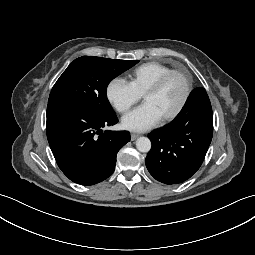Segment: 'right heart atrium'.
Returning <instances> with one entry per match:
<instances>
[{"instance_id": "obj_1", "label": "right heart atrium", "mask_w": 255, "mask_h": 255, "mask_svg": "<svg viewBox=\"0 0 255 255\" xmlns=\"http://www.w3.org/2000/svg\"><path fill=\"white\" fill-rule=\"evenodd\" d=\"M105 95L111 106L119 113L127 112L141 97L129 82L120 77L108 82Z\"/></svg>"}]
</instances>
